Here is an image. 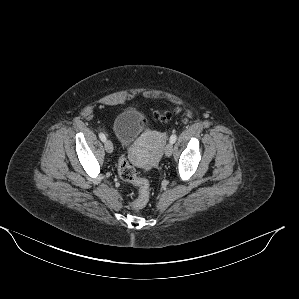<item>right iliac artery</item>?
I'll list each match as a JSON object with an SVG mask.
<instances>
[{"label": "right iliac artery", "instance_id": "1", "mask_svg": "<svg viewBox=\"0 0 299 299\" xmlns=\"http://www.w3.org/2000/svg\"><path fill=\"white\" fill-rule=\"evenodd\" d=\"M99 138L101 139V141H105L106 140V136L103 133L99 134Z\"/></svg>", "mask_w": 299, "mask_h": 299}]
</instances>
